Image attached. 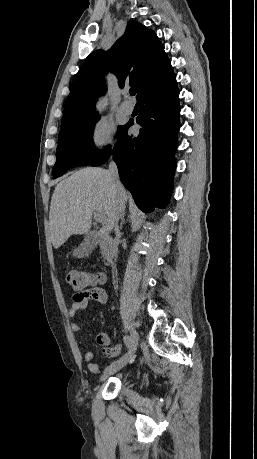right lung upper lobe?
I'll return each instance as SVG.
<instances>
[{
    "instance_id": "cb5924a9",
    "label": "right lung upper lobe",
    "mask_w": 257,
    "mask_h": 459,
    "mask_svg": "<svg viewBox=\"0 0 257 459\" xmlns=\"http://www.w3.org/2000/svg\"><path fill=\"white\" fill-rule=\"evenodd\" d=\"M113 72L119 86L135 87L137 99L159 82L173 74L164 46L154 31L131 21L124 35L107 51H94L75 76L66 101L60 133L97 116L93 105L106 91L104 76Z\"/></svg>"
}]
</instances>
